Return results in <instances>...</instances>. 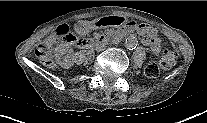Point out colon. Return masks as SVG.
<instances>
[{
  "label": "colon",
  "instance_id": "colon-1",
  "mask_svg": "<svg viewBox=\"0 0 207 123\" xmlns=\"http://www.w3.org/2000/svg\"><path fill=\"white\" fill-rule=\"evenodd\" d=\"M57 41H64L67 43L75 42V38L72 35L68 25H59L55 29L54 35L41 43L36 50V55L40 61L44 65L51 68L55 67V62L52 58V50ZM80 43L84 44L85 42L80 41ZM176 61L177 53L168 50L159 61L149 63L144 69V74L148 78H155L160 74V72L169 70L176 63Z\"/></svg>",
  "mask_w": 207,
  "mask_h": 123
}]
</instances>
